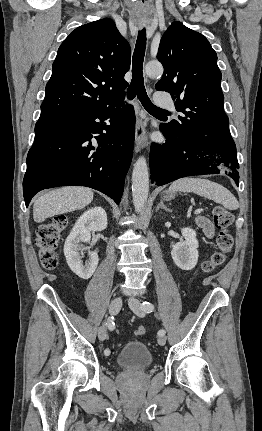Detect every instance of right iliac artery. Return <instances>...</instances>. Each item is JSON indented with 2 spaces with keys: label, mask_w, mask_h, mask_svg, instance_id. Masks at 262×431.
Masks as SVG:
<instances>
[{
  "label": "right iliac artery",
  "mask_w": 262,
  "mask_h": 431,
  "mask_svg": "<svg viewBox=\"0 0 262 431\" xmlns=\"http://www.w3.org/2000/svg\"><path fill=\"white\" fill-rule=\"evenodd\" d=\"M106 325L108 326V328L110 330L113 329V327H114L113 317H111V318L108 319ZM104 354L105 355H109L110 354V350L109 349H105Z\"/></svg>",
  "instance_id": "right-iliac-artery-1"
}]
</instances>
